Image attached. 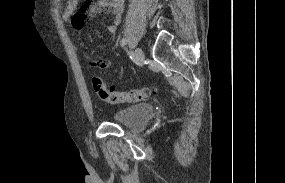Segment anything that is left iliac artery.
Masks as SVG:
<instances>
[{
  "mask_svg": "<svg viewBox=\"0 0 285 183\" xmlns=\"http://www.w3.org/2000/svg\"><path fill=\"white\" fill-rule=\"evenodd\" d=\"M127 42H128V39L127 38H123L121 41H120V45L121 46H124V45H126L127 44ZM131 54V56H133L134 58H135V56L133 55V53H130ZM130 56V57H131ZM136 59V58H135Z\"/></svg>",
  "mask_w": 285,
  "mask_h": 183,
  "instance_id": "left-iliac-artery-1",
  "label": "left iliac artery"
}]
</instances>
